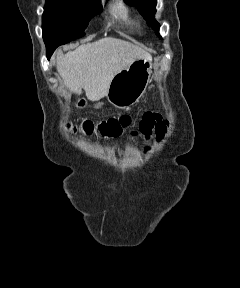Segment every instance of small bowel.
<instances>
[{"mask_svg": "<svg viewBox=\"0 0 240 288\" xmlns=\"http://www.w3.org/2000/svg\"><path fill=\"white\" fill-rule=\"evenodd\" d=\"M166 129L167 123L159 114L146 112L139 123L138 133L142 134L146 140L151 139L152 135L161 139L164 136Z\"/></svg>", "mask_w": 240, "mask_h": 288, "instance_id": "obj_1", "label": "small bowel"}]
</instances>
